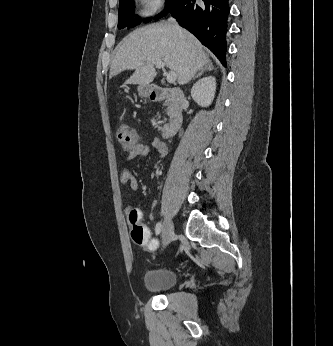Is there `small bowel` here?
Instances as JSON below:
<instances>
[{
	"instance_id": "c3829d8e",
	"label": "small bowel",
	"mask_w": 333,
	"mask_h": 346,
	"mask_svg": "<svg viewBox=\"0 0 333 346\" xmlns=\"http://www.w3.org/2000/svg\"><path fill=\"white\" fill-rule=\"evenodd\" d=\"M151 147L155 148L159 157L163 158L167 155V147L166 145L159 140L158 138H154L151 140L150 145L138 144L137 147L130 151L127 160L131 161L136 158H144L149 155ZM121 181L123 183H128L132 189H137L139 184L137 179L134 177L132 171L130 169H124L121 174ZM131 210L130 207L127 208V212L129 213ZM147 250V248L145 247Z\"/></svg>"
}]
</instances>
